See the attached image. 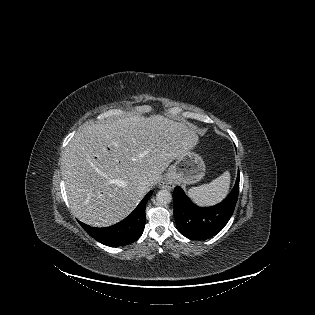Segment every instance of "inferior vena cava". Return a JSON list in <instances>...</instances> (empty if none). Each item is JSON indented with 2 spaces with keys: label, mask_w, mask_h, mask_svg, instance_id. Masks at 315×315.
Segmentation results:
<instances>
[{
  "label": "inferior vena cava",
  "mask_w": 315,
  "mask_h": 315,
  "mask_svg": "<svg viewBox=\"0 0 315 315\" xmlns=\"http://www.w3.org/2000/svg\"><path fill=\"white\" fill-rule=\"evenodd\" d=\"M139 190L141 192H147L149 190L148 182H146V181L141 182L139 185Z\"/></svg>",
  "instance_id": "1"
}]
</instances>
